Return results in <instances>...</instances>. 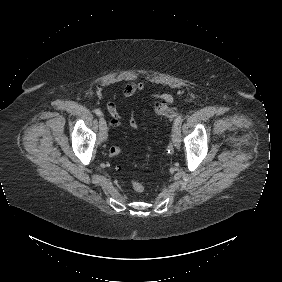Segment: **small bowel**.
<instances>
[{
    "label": "small bowel",
    "instance_id": "c3829d8e",
    "mask_svg": "<svg viewBox=\"0 0 282 282\" xmlns=\"http://www.w3.org/2000/svg\"><path fill=\"white\" fill-rule=\"evenodd\" d=\"M145 86L144 81H139V82H129L125 85L123 89V96L124 98L131 100L133 103H135L139 96L141 91L143 90ZM174 98L170 94H159L155 93L151 96V103L152 105L156 104H171L173 102ZM107 110L110 113L112 119L110 122V125L113 127H120L125 124V122H128L129 125L132 128H138L139 124L135 118V113H134V107H132L128 112L126 113H121L119 112L117 106L115 105L114 102L109 101L107 103Z\"/></svg>",
    "mask_w": 282,
    "mask_h": 282
}]
</instances>
